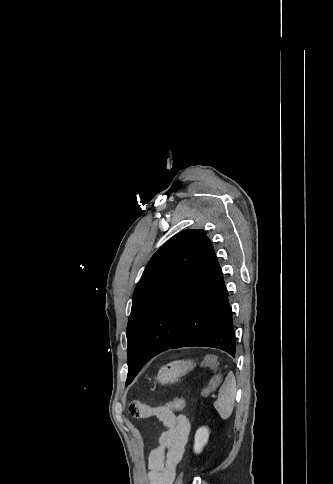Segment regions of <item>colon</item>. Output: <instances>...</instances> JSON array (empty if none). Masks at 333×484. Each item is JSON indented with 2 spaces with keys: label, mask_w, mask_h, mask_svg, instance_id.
<instances>
[{
  "label": "colon",
  "mask_w": 333,
  "mask_h": 484,
  "mask_svg": "<svg viewBox=\"0 0 333 484\" xmlns=\"http://www.w3.org/2000/svg\"><path fill=\"white\" fill-rule=\"evenodd\" d=\"M203 366L210 367L215 371V374L210 379V381L205 385V387L201 392V395L203 397H206L219 386L221 382V374L218 372V363L215 360V358L212 356H208L203 360ZM184 405H185L184 399L182 397H177L162 406L168 410L177 412L182 410L184 408ZM182 481H183V475L181 474L177 478L175 484H182Z\"/></svg>",
  "instance_id": "1"
}]
</instances>
